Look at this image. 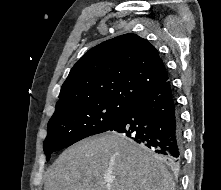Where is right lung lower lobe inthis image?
Listing matches in <instances>:
<instances>
[{
	"label": "right lung lower lobe",
	"instance_id": "1",
	"mask_svg": "<svg viewBox=\"0 0 221 190\" xmlns=\"http://www.w3.org/2000/svg\"><path fill=\"white\" fill-rule=\"evenodd\" d=\"M109 131L134 139L170 166H178L182 159V124L170 80L131 102Z\"/></svg>",
	"mask_w": 221,
	"mask_h": 190
}]
</instances>
